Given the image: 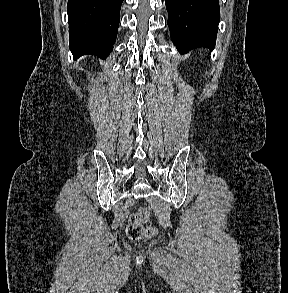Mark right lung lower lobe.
Here are the masks:
<instances>
[{"instance_id": "right-lung-lower-lobe-1", "label": "right lung lower lobe", "mask_w": 288, "mask_h": 293, "mask_svg": "<svg viewBox=\"0 0 288 293\" xmlns=\"http://www.w3.org/2000/svg\"><path fill=\"white\" fill-rule=\"evenodd\" d=\"M123 0H68L70 50L74 59H105L116 41Z\"/></svg>"}]
</instances>
